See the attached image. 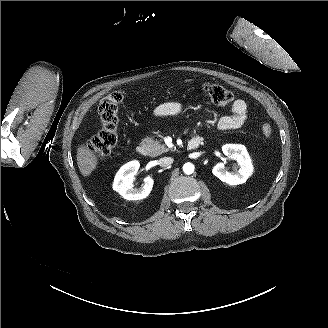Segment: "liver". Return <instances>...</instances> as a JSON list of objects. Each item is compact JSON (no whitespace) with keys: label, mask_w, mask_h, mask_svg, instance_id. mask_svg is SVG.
<instances>
[{"label":"liver","mask_w":328,"mask_h":328,"mask_svg":"<svg viewBox=\"0 0 328 328\" xmlns=\"http://www.w3.org/2000/svg\"><path fill=\"white\" fill-rule=\"evenodd\" d=\"M98 163L95 154L89 150L85 145H81L77 149V164L80 173L83 176H89L96 168Z\"/></svg>","instance_id":"1"}]
</instances>
